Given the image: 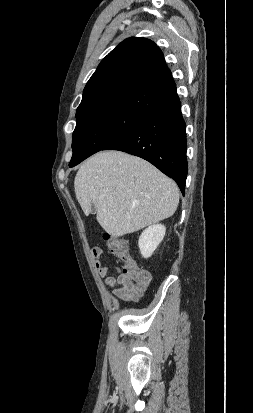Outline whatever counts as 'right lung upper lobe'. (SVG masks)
Returning <instances> with one entry per match:
<instances>
[{
    "instance_id": "obj_1",
    "label": "right lung upper lobe",
    "mask_w": 253,
    "mask_h": 413,
    "mask_svg": "<svg viewBox=\"0 0 253 413\" xmlns=\"http://www.w3.org/2000/svg\"><path fill=\"white\" fill-rule=\"evenodd\" d=\"M178 99L159 47L151 40L132 37L101 61L84 88L76 118L117 110L149 115Z\"/></svg>"
}]
</instances>
